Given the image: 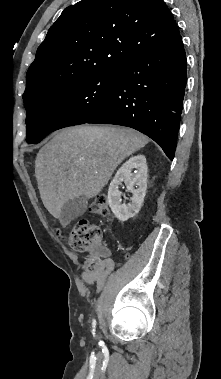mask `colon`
<instances>
[{"instance_id": "colon-1", "label": "colon", "mask_w": 221, "mask_h": 379, "mask_svg": "<svg viewBox=\"0 0 221 379\" xmlns=\"http://www.w3.org/2000/svg\"><path fill=\"white\" fill-rule=\"evenodd\" d=\"M90 212L96 216L105 217L109 214L107 198L98 196L90 205ZM102 229L87 219L79 220L68 236L69 245L78 251H92L97 253L102 242ZM98 259L92 255L86 263V268L93 271L99 266Z\"/></svg>"}]
</instances>
